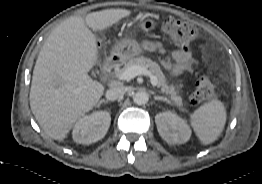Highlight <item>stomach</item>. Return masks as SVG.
Segmentation results:
<instances>
[{
    "label": "stomach",
    "mask_w": 262,
    "mask_h": 184,
    "mask_svg": "<svg viewBox=\"0 0 262 184\" xmlns=\"http://www.w3.org/2000/svg\"><path fill=\"white\" fill-rule=\"evenodd\" d=\"M138 27L144 32H150L155 29L156 22L152 18L143 16L140 18ZM143 51L141 45L134 39L125 38L119 41L111 52V58H117L120 61L131 59Z\"/></svg>",
    "instance_id": "obj_1"
}]
</instances>
